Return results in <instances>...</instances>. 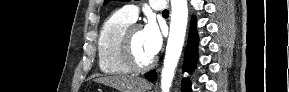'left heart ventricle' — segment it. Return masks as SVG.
<instances>
[{"label":"left heart ventricle","mask_w":289,"mask_h":92,"mask_svg":"<svg viewBox=\"0 0 289 92\" xmlns=\"http://www.w3.org/2000/svg\"><path fill=\"white\" fill-rule=\"evenodd\" d=\"M132 45L134 55L140 63H147L153 58L146 49L143 30L141 28L135 30Z\"/></svg>","instance_id":"b2bd125f"}]
</instances>
